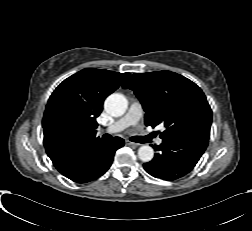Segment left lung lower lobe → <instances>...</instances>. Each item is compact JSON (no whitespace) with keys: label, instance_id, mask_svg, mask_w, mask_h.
Returning <instances> with one entry per match:
<instances>
[{"label":"left lung lower lobe","instance_id":"left-lung-lower-lobe-1","mask_svg":"<svg viewBox=\"0 0 252 231\" xmlns=\"http://www.w3.org/2000/svg\"><path fill=\"white\" fill-rule=\"evenodd\" d=\"M208 145V140L199 136H181L174 140H163L154 147L157 153L144 169L156 178L175 180L189 173Z\"/></svg>","mask_w":252,"mask_h":231}]
</instances>
